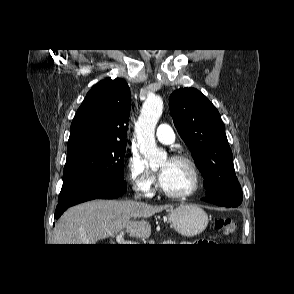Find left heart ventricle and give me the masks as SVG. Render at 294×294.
<instances>
[{
	"instance_id": "1",
	"label": "left heart ventricle",
	"mask_w": 294,
	"mask_h": 294,
	"mask_svg": "<svg viewBox=\"0 0 294 294\" xmlns=\"http://www.w3.org/2000/svg\"><path fill=\"white\" fill-rule=\"evenodd\" d=\"M163 172L162 186L172 193L187 192L193 184V175L189 167L176 161H164L160 167Z\"/></svg>"
}]
</instances>
